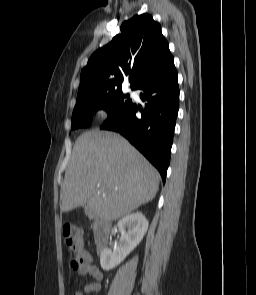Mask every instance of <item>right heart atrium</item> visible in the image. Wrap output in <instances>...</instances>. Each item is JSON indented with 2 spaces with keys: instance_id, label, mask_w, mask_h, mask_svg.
Segmentation results:
<instances>
[{
  "instance_id": "right-heart-atrium-1",
  "label": "right heart atrium",
  "mask_w": 256,
  "mask_h": 295,
  "mask_svg": "<svg viewBox=\"0 0 256 295\" xmlns=\"http://www.w3.org/2000/svg\"><path fill=\"white\" fill-rule=\"evenodd\" d=\"M99 114H101V115H105V114H106V110H105V109H100V110H99Z\"/></svg>"
}]
</instances>
